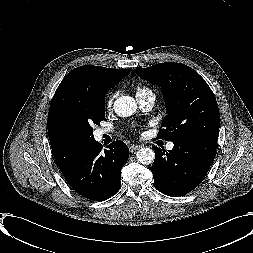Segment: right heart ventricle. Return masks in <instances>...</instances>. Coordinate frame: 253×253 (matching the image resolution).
Masks as SVG:
<instances>
[{
	"label": "right heart ventricle",
	"mask_w": 253,
	"mask_h": 253,
	"mask_svg": "<svg viewBox=\"0 0 253 253\" xmlns=\"http://www.w3.org/2000/svg\"><path fill=\"white\" fill-rule=\"evenodd\" d=\"M136 97H144L150 94H154L153 91L145 86H138L135 89Z\"/></svg>",
	"instance_id": "obj_1"
}]
</instances>
